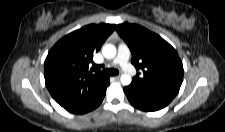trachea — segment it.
Here are the masks:
<instances>
[{
	"mask_svg": "<svg viewBox=\"0 0 225 132\" xmlns=\"http://www.w3.org/2000/svg\"><path fill=\"white\" fill-rule=\"evenodd\" d=\"M118 74H119V71L116 69H105L102 71L103 76H115Z\"/></svg>",
	"mask_w": 225,
	"mask_h": 132,
	"instance_id": "1",
	"label": "trachea"
}]
</instances>
